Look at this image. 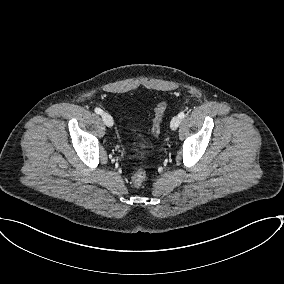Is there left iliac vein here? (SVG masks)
<instances>
[{
  "label": "left iliac vein",
  "mask_w": 284,
  "mask_h": 284,
  "mask_svg": "<svg viewBox=\"0 0 284 284\" xmlns=\"http://www.w3.org/2000/svg\"><path fill=\"white\" fill-rule=\"evenodd\" d=\"M181 123V119L178 116H174L171 120L170 127L172 130H176Z\"/></svg>",
  "instance_id": "obj_1"
}]
</instances>
